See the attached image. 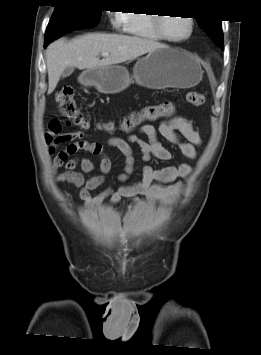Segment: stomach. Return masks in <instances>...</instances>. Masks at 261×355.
Here are the masks:
<instances>
[{
  "instance_id": "0dacf381",
  "label": "stomach",
  "mask_w": 261,
  "mask_h": 355,
  "mask_svg": "<svg viewBox=\"0 0 261 355\" xmlns=\"http://www.w3.org/2000/svg\"><path fill=\"white\" fill-rule=\"evenodd\" d=\"M133 74L136 83L151 89L189 88L201 81L203 70L187 52L163 46L138 59ZM81 82L101 93L114 94L126 89L131 79L125 67L109 65L84 71Z\"/></svg>"
}]
</instances>
